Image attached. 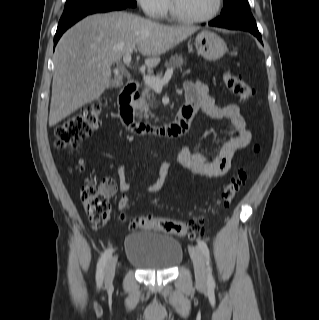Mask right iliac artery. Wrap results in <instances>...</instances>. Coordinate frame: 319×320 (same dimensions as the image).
I'll return each instance as SVG.
<instances>
[{"mask_svg":"<svg viewBox=\"0 0 319 320\" xmlns=\"http://www.w3.org/2000/svg\"><path fill=\"white\" fill-rule=\"evenodd\" d=\"M113 250L107 249L101 256L98 265H97V272H96V282L97 285L100 286L104 279V270L107 260L111 257Z\"/></svg>","mask_w":319,"mask_h":320,"instance_id":"right-iliac-artery-1","label":"right iliac artery"}]
</instances>
